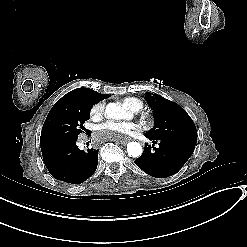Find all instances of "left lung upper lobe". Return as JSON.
I'll return each mask as SVG.
<instances>
[{
	"mask_svg": "<svg viewBox=\"0 0 247 247\" xmlns=\"http://www.w3.org/2000/svg\"><path fill=\"white\" fill-rule=\"evenodd\" d=\"M145 98L154 114V127L146 137L196 145L195 124L183 108L158 94L146 93Z\"/></svg>",
	"mask_w": 247,
	"mask_h": 247,
	"instance_id": "1",
	"label": "left lung upper lobe"
}]
</instances>
